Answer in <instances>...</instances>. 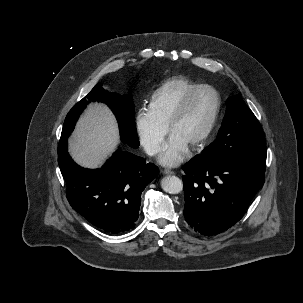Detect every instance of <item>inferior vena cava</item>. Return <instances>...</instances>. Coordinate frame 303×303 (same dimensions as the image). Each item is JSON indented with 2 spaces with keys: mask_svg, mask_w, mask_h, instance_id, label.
I'll list each match as a JSON object with an SVG mask.
<instances>
[{
  "mask_svg": "<svg viewBox=\"0 0 303 303\" xmlns=\"http://www.w3.org/2000/svg\"><path fill=\"white\" fill-rule=\"evenodd\" d=\"M157 147L154 146V145H151V146H148L146 148V152L149 154V155H154L156 152H157Z\"/></svg>",
  "mask_w": 303,
  "mask_h": 303,
  "instance_id": "602c4592",
  "label": "inferior vena cava"
}]
</instances>
